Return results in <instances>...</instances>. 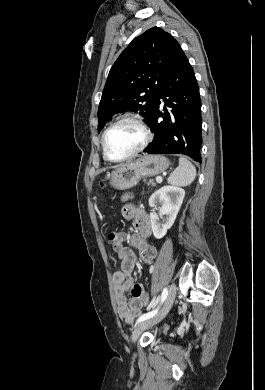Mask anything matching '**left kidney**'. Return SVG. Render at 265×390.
I'll list each match as a JSON object with an SVG mask.
<instances>
[{
	"label": "left kidney",
	"instance_id": "obj_1",
	"mask_svg": "<svg viewBox=\"0 0 265 390\" xmlns=\"http://www.w3.org/2000/svg\"><path fill=\"white\" fill-rule=\"evenodd\" d=\"M184 196L185 190L176 186H163L151 195L149 198V206L152 208L158 206L159 215L165 216V220L160 224L158 222V214L154 212L150 213L151 227L155 238H163L172 227Z\"/></svg>",
	"mask_w": 265,
	"mask_h": 390
}]
</instances>
